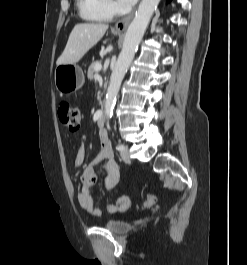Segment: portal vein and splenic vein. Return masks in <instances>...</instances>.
I'll use <instances>...</instances> for the list:
<instances>
[{"instance_id":"portal-vein-and-splenic-vein-1","label":"portal vein and splenic vein","mask_w":247,"mask_h":265,"mask_svg":"<svg viewBox=\"0 0 247 265\" xmlns=\"http://www.w3.org/2000/svg\"><path fill=\"white\" fill-rule=\"evenodd\" d=\"M95 69H96L97 71H100V70L102 69V65H97V66L95 67Z\"/></svg>"}]
</instances>
